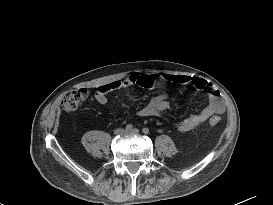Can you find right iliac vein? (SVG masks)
<instances>
[{"label": "right iliac vein", "mask_w": 273, "mask_h": 205, "mask_svg": "<svg viewBox=\"0 0 273 205\" xmlns=\"http://www.w3.org/2000/svg\"><path fill=\"white\" fill-rule=\"evenodd\" d=\"M125 133H126V131L123 128H118V129L115 130L116 135H123Z\"/></svg>", "instance_id": "1"}]
</instances>
